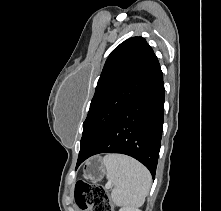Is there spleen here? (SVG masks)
Wrapping results in <instances>:
<instances>
[{
  "instance_id": "spleen-1",
  "label": "spleen",
  "mask_w": 221,
  "mask_h": 211,
  "mask_svg": "<svg viewBox=\"0 0 221 211\" xmlns=\"http://www.w3.org/2000/svg\"><path fill=\"white\" fill-rule=\"evenodd\" d=\"M107 179L114 185L111 198L115 205L139 207L151 186L148 169L133 158L121 154H108L103 158Z\"/></svg>"
}]
</instances>
